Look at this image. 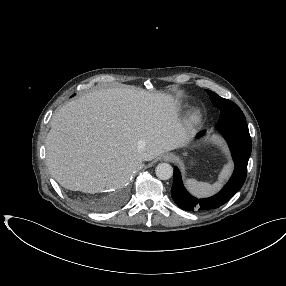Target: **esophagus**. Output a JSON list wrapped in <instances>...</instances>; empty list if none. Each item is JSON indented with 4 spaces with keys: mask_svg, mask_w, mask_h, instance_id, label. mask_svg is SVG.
Returning <instances> with one entry per match:
<instances>
[{
    "mask_svg": "<svg viewBox=\"0 0 286 286\" xmlns=\"http://www.w3.org/2000/svg\"><path fill=\"white\" fill-rule=\"evenodd\" d=\"M176 156L173 153H167L163 156V160L166 162H173L175 161Z\"/></svg>",
    "mask_w": 286,
    "mask_h": 286,
    "instance_id": "34e87169",
    "label": "esophagus"
}]
</instances>
